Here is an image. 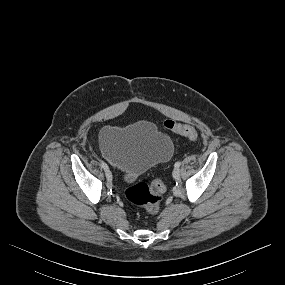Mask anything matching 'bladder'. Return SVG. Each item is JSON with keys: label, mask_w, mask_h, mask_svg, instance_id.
Returning <instances> with one entry per match:
<instances>
[{"label": "bladder", "mask_w": 285, "mask_h": 285, "mask_svg": "<svg viewBox=\"0 0 285 285\" xmlns=\"http://www.w3.org/2000/svg\"><path fill=\"white\" fill-rule=\"evenodd\" d=\"M103 156L117 169L124 183H131L142 173L167 161L173 153V142L150 121H139L126 127L101 129Z\"/></svg>", "instance_id": "1"}]
</instances>
